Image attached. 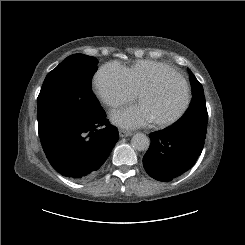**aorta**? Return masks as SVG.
<instances>
[{"mask_svg": "<svg viewBox=\"0 0 245 245\" xmlns=\"http://www.w3.org/2000/svg\"><path fill=\"white\" fill-rule=\"evenodd\" d=\"M131 143L134 149L138 151H145L149 148L150 140L145 134L136 133L133 135Z\"/></svg>", "mask_w": 245, "mask_h": 245, "instance_id": "aorta-1", "label": "aorta"}]
</instances>
